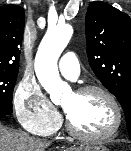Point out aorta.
Here are the masks:
<instances>
[{"label":"aorta","mask_w":131,"mask_h":151,"mask_svg":"<svg viewBox=\"0 0 131 151\" xmlns=\"http://www.w3.org/2000/svg\"><path fill=\"white\" fill-rule=\"evenodd\" d=\"M71 26L58 25L45 34L36 54L35 72L39 82L53 101L60 97L64 84L60 79L57 62L72 36Z\"/></svg>","instance_id":"aorta-1"}]
</instances>
